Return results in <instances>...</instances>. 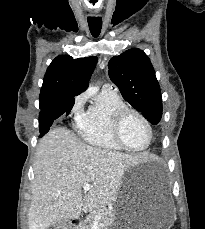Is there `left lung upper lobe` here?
<instances>
[{
    "label": "left lung upper lobe",
    "mask_w": 205,
    "mask_h": 229,
    "mask_svg": "<svg viewBox=\"0 0 205 229\" xmlns=\"http://www.w3.org/2000/svg\"><path fill=\"white\" fill-rule=\"evenodd\" d=\"M109 77L123 98L152 124H158L162 117V99L159 83L148 56L133 48L108 63Z\"/></svg>",
    "instance_id": "1"
}]
</instances>
